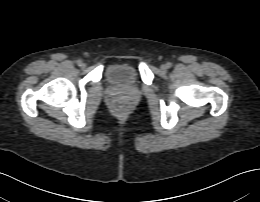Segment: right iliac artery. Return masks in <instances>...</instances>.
Masks as SVG:
<instances>
[{"label":"right iliac artery","mask_w":260,"mask_h":202,"mask_svg":"<svg viewBox=\"0 0 260 202\" xmlns=\"http://www.w3.org/2000/svg\"><path fill=\"white\" fill-rule=\"evenodd\" d=\"M81 64H82V61L81 60H77V65L81 66Z\"/></svg>","instance_id":"obj_1"}]
</instances>
